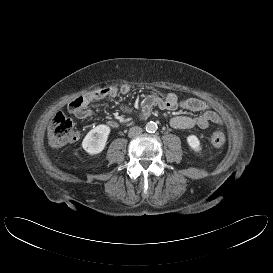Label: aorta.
Instances as JSON below:
<instances>
[{"instance_id":"aorta-1","label":"aorta","mask_w":273,"mask_h":273,"mask_svg":"<svg viewBox=\"0 0 273 273\" xmlns=\"http://www.w3.org/2000/svg\"><path fill=\"white\" fill-rule=\"evenodd\" d=\"M157 130V124L153 121H150L146 124V131L149 133H153Z\"/></svg>"}]
</instances>
